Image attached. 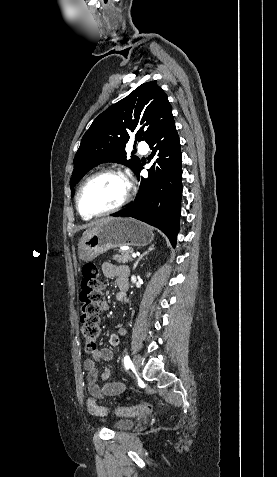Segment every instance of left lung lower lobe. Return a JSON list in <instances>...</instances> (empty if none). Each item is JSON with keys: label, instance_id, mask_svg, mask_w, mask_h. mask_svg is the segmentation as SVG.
<instances>
[{"label": "left lung lower lobe", "instance_id": "1", "mask_svg": "<svg viewBox=\"0 0 277 477\" xmlns=\"http://www.w3.org/2000/svg\"><path fill=\"white\" fill-rule=\"evenodd\" d=\"M157 155L148 171V178H141L139 191L133 203L112 216L132 217L162 230L173 247L179 230L182 168L179 136L174 118L147 142ZM142 165L136 171L140 180Z\"/></svg>", "mask_w": 277, "mask_h": 477}]
</instances>
